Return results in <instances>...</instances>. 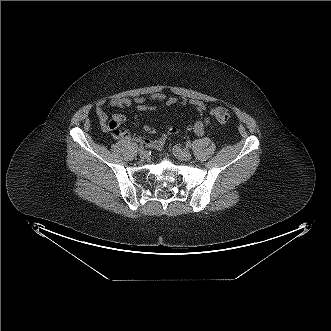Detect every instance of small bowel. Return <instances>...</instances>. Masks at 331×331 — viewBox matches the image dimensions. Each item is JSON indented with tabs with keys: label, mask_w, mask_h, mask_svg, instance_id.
Listing matches in <instances>:
<instances>
[{
	"label": "small bowel",
	"mask_w": 331,
	"mask_h": 331,
	"mask_svg": "<svg viewBox=\"0 0 331 331\" xmlns=\"http://www.w3.org/2000/svg\"><path fill=\"white\" fill-rule=\"evenodd\" d=\"M150 102L161 103L165 106H173L178 104L181 107H193L198 112L199 116L193 124L184 127L183 130L186 132H193L197 135H202L209 124V119L207 117H203V113L206 111V105L202 101L187 98H182L179 100L174 96H169L164 93H154L148 97H114L109 99V101L100 100L96 106V115L103 129L109 132L114 138L133 140L147 147L159 149L165 144L166 140L170 136L179 133L180 129L177 127L169 128L157 139L150 141L141 135L131 134L129 130L123 129L121 127L125 122V116L123 114L114 113L111 116H108L104 110L106 104H109L111 107L118 108L135 107L139 111L149 112H154L160 109L159 106L152 105ZM143 129L148 134H154L156 132V130L148 124L144 125Z\"/></svg>",
	"instance_id": "c3829d8e"
}]
</instances>
